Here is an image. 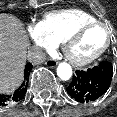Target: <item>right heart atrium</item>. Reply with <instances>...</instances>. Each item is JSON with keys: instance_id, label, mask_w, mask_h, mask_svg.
Instances as JSON below:
<instances>
[{"instance_id": "obj_1", "label": "right heart atrium", "mask_w": 117, "mask_h": 117, "mask_svg": "<svg viewBox=\"0 0 117 117\" xmlns=\"http://www.w3.org/2000/svg\"><path fill=\"white\" fill-rule=\"evenodd\" d=\"M27 34L29 39L43 50H51L56 46V42L48 34L41 22L28 26Z\"/></svg>"}]
</instances>
